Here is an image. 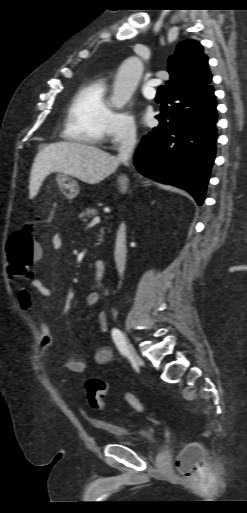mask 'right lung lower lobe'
<instances>
[{"label": "right lung lower lobe", "instance_id": "98d812e1", "mask_svg": "<svg viewBox=\"0 0 247 513\" xmlns=\"http://www.w3.org/2000/svg\"><path fill=\"white\" fill-rule=\"evenodd\" d=\"M160 124L134 155L140 173L187 190L201 205L216 153L217 109L214 89L166 93Z\"/></svg>", "mask_w": 247, "mask_h": 513}]
</instances>
